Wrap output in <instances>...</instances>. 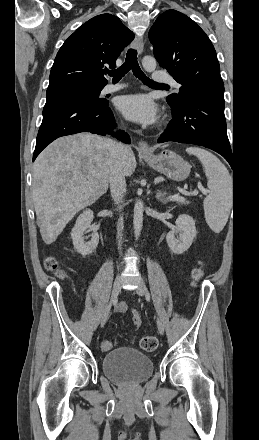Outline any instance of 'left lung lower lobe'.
I'll list each match as a JSON object with an SVG mask.
<instances>
[{
  "mask_svg": "<svg viewBox=\"0 0 259 440\" xmlns=\"http://www.w3.org/2000/svg\"><path fill=\"white\" fill-rule=\"evenodd\" d=\"M224 105V95L215 91L197 90L187 95L182 107H171L172 120L158 143L173 141L204 146L221 154L232 166Z\"/></svg>",
  "mask_w": 259,
  "mask_h": 440,
  "instance_id": "0a47b994",
  "label": "left lung lower lobe"
}]
</instances>
